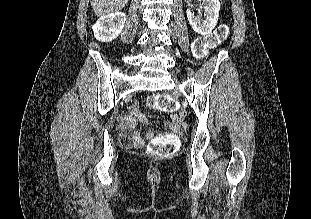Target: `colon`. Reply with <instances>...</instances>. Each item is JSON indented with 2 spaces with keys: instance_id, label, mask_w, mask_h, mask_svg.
<instances>
[{
  "instance_id": "obj_1",
  "label": "colon",
  "mask_w": 311,
  "mask_h": 219,
  "mask_svg": "<svg viewBox=\"0 0 311 219\" xmlns=\"http://www.w3.org/2000/svg\"><path fill=\"white\" fill-rule=\"evenodd\" d=\"M228 36V28L222 24L218 26L214 32L208 36L199 37L194 45L193 51L197 57H203L207 52L217 44L223 42ZM147 104L150 108L170 112L175 108V102L165 94L152 95L148 98ZM120 142L127 144L125 135L121 136ZM179 147V141L176 137L170 135H161L154 137L149 145V153L161 157L172 156Z\"/></svg>"
}]
</instances>
